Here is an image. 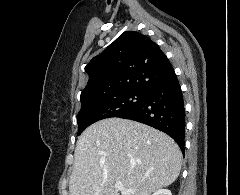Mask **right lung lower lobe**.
<instances>
[{"label": "right lung lower lobe", "mask_w": 240, "mask_h": 195, "mask_svg": "<svg viewBox=\"0 0 240 195\" xmlns=\"http://www.w3.org/2000/svg\"><path fill=\"white\" fill-rule=\"evenodd\" d=\"M118 117L147 124L168 134L184 152V100L175 73L152 86L141 104Z\"/></svg>", "instance_id": "obj_1"}]
</instances>
